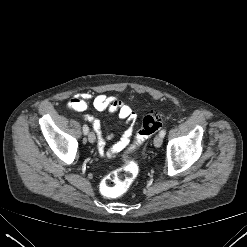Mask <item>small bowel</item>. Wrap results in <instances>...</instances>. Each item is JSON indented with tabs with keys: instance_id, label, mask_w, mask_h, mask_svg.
Segmentation results:
<instances>
[{
	"instance_id": "1",
	"label": "small bowel",
	"mask_w": 247,
	"mask_h": 247,
	"mask_svg": "<svg viewBox=\"0 0 247 247\" xmlns=\"http://www.w3.org/2000/svg\"><path fill=\"white\" fill-rule=\"evenodd\" d=\"M93 106L99 112L105 113H117L118 117L131 124L134 121V114L131 108L121 102L115 96H109L106 94L94 95L89 92L78 93L74 95L68 102L67 107L75 111H85ZM85 121L90 123L98 137V151L102 156H113L116 152L123 149L129 141L131 136V129H128L122 135L120 141L114 145L111 149H106V143L112 138V135L105 136L102 132L101 122L96 117L86 114L84 115Z\"/></svg>"
}]
</instances>
